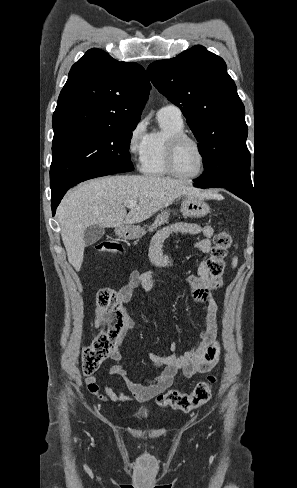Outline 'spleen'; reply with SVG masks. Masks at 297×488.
<instances>
[{
  "instance_id": "obj_1",
  "label": "spleen",
  "mask_w": 297,
  "mask_h": 488,
  "mask_svg": "<svg viewBox=\"0 0 297 488\" xmlns=\"http://www.w3.org/2000/svg\"><path fill=\"white\" fill-rule=\"evenodd\" d=\"M237 262H238V259L237 258H234L233 259V262H232V264H233L234 267L237 266Z\"/></svg>"
}]
</instances>
